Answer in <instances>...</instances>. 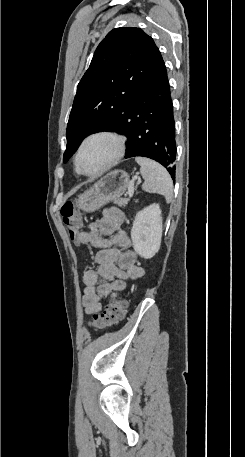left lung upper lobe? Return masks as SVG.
Instances as JSON below:
<instances>
[{
  "label": "left lung upper lobe",
  "instance_id": "1",
  "mask_svg": "<svg viewBox=\"0 0 245 457\" xmlns=\"http://www.w3.org/2000/svg\"><path fill=\"white\" fill-rule=\"evenodd\" d=\"M160 60L153 39L140 28H115L107 34L77 87L64 163L86 136L110 131L137 108Z\"/></svg>",
  "mask_w": 245,
  "mask_h": 457
}]
</instances>
